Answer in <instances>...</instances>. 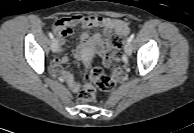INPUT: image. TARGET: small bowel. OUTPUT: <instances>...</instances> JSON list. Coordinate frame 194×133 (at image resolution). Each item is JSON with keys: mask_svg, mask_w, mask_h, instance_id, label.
<instances>
[{"mask_svg": "<svg viewBox=\"0 0 194 133\" xmlns=\"http://www.w3.org/2000/svg\"><path fill=\"white\" fill-rule=\"evenodd\" d=\"M81 25L85 31L80 36L79 49L82 50L87 45H92L102 57L104 66H110L108 53L112 49L111 37L114 34L122 36L130 32L128 24L120 19L104 17V16H88V15H72L57 21L53 27L58 37V51L64 50L66 38L73 35V27ZM100 28V32L90 35V30ZM68 61L67 57H58L53 60L52 68L59 72L62 78L67 82L73 92H77L80 88L79 84L71 77V75L63 69V65Z\"/></svg>", "mask_w": 194, "mask_h": 133, "instance_id": "c3829d8e", "label": "small bowel"}]
</instances>
